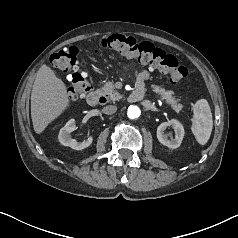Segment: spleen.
<instances>
[{
    "label": "spleen",
    "instance_id": "1",
    "mask_svg": "<svg viewBox=\"0 0 238 238\" xmlns=\"http://www.w3.org/2000/svg\"><path fill=\"white\" fill-rule=\"evenodd\" d=\"M191 131L200 145H205L212 132L213 120L210 106L206 99L198 100L193 107Z\"/></svg>",
    "mask_w": 238,
    "mask_h": 238
}]
</instances>
